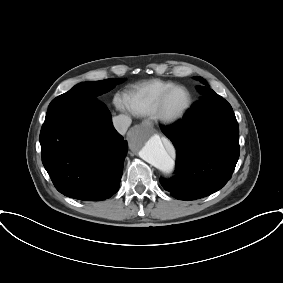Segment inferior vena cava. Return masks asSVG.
I'll list each match as a JSON object with an SVG mask.
<instances>
[{
	"label": "inferior vena cava",
	"mask_w": 283,
	"mask_h": 283,
	"mask_svg": "<svg viewBox=\"0 0 283 283\" xmlns=\"http://www.w3.org/2000/svg\"><path fill=\"white\" fill-rule=\"evenodd\" d=\"M114 128L117 130L118 133L124 135L131 125V118L127 115H118L113 117L112 119Z\"/></svg>",
	"instance_id": "602c4592"
}]
</instances>
